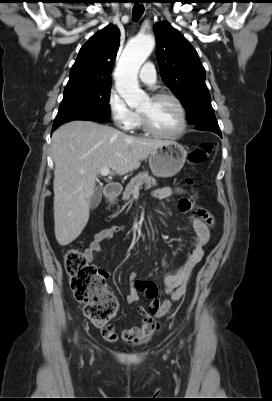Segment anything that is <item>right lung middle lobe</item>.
Wrapping results in <instances>:
<instances>
[{
  "mask_svg": "<svg viewBox=\"0 0 272 401\" xmlns=\"http://www.w3.org/2000/svg\"><path fill=\"white\" fill-rule=\"evenodd\" d=\"M110 87L111 84H101L64 92L53 126L81 118L108 120Z\"/></svg>",
  "mask_w": 272,
  "mask_h": 401,
  "instance_id": "right-lung-middle-lobe-1",
  "label": "right lung middle lobe"
}]
</instances>
